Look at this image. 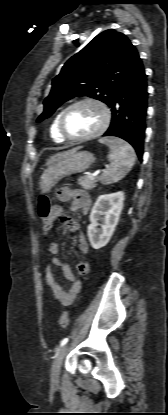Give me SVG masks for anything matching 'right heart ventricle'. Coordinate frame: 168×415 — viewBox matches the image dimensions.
Segmentation results:
<instances>
[{
    "label": "right heart ventricle",
    "mask_w": 168,
    "mask_h": 415,
    "mask_svg": "<svg viewBox=\"0 0 168 415\" xmlns=\"http://www.w3.org/2000/svg\"><path fill=\"white\" fill-rule=\"evenodd\" d=\"M60 114H61V112L56 114V116L53 118V120L51 122V125H50V129H49L50 137L56 143H64L66 141L61 136V134L59 132V129H58V121H59Z\"/></svg>",
    "instance_id": "obj_1"
}]
</instances>
